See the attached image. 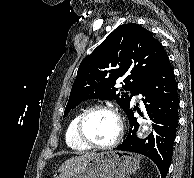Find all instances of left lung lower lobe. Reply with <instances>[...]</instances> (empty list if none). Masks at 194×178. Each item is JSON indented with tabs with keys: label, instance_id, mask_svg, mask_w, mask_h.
Segmentation results:
<instances>
[{
	"label": "left lung lower lobe",
	"instance_id": "obj_1",
	"mask_svg": "<svg viewBox=\"0 0 194 178\" xmlns=\"http://www.w3.org/2000/svg\"><path fill=\"white\" fill-rule=\"evenodd\" d=\"M138 93L146 97L143 102L148 116L154 122V132L145 139L137 138L139 124L134 118L137 108L130 106L125 112L130 123L129 134L123 143L114 149L149 157L157 165L161 178H165L172 160L179 119L177 83L169 59L157 73L138 86L132 96Z\"/></svg>",
	"mask_w": 194,
	"mask_h": 178
}]
</instances>
